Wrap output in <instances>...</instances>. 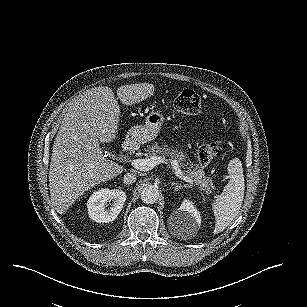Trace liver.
Instances as JSON below:
<instances>
[{
    "label": "liver",
    "instance_id": "1",
    "mask_svg": "<svg viewBox=\"0 0 307 307\" xmlns=\"http://www.w3.org/2000/svg\"><path fill=\"white\" fill-rule=\"evenodd\" d=\"M153 91L148 83L122 85L117 96L123 104L132 105ZM119 112L108 87L89 89L70 104L54 140L48 175L51 202L58 213L90 187L122 172V167L104 157L98 143V139L114 138Z\"/></svg>",
    "mask_w": 307,
    "mask_h": 307
}]
</instances>
